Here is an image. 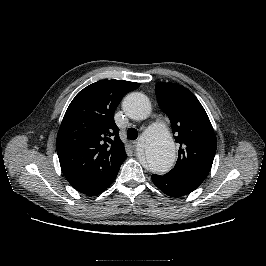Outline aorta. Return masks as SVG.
I'll list each match as a JSON object with an SVG mask.
<instances>
[{
	"label": "aorta",
	"instance_id": "762f6f07",
	"mask_svg": "<svg viewBox=\"0 0 266 266\" xmlns=\"http://www.w3.org/2000/svg\"><path fill=\"white\" fill-rule=\"evenodd\" d=\"M127 116L134 120L146 119L151 104L142 93L129 94L123 101ZM140 160L154 173L169 171L175 163V144L169 129L164 124L150 127L143 136Z\"/></svg>",
	"mask_w": 266,
	"mask_h": 266
}]
</instances>
